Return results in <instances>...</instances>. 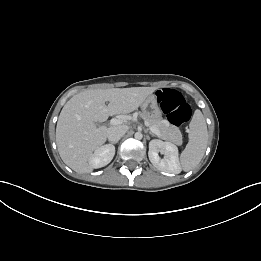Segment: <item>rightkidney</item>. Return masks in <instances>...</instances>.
<instances>
[{
	"instance_id": "ca27d5eb",
	"label": "right kidney",
	"mask_w": 261,
	"mask_h": 261,
	"mask_svg": "<svg viewBox=\"0 0 261 261\" xmlns=\"http://www.w3.org/2000/svg\"><path fill=\"white\" fill-rule=\"evenodd\" d=\"M115 155V147L111 144L103 145L97 148L89 158V164L92 168H101L111 162Z\"/></svg>"
}]
</instances>
